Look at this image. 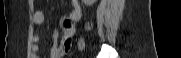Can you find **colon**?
I'll use <instances>...</instances> for the list:
<instances>
[{"label":"colon","instance_id":"1","mask_svg":"<svg viewBox=\"0 0 181 58\" xmlns=\"http://www.w3.org/2000/svg\"><path fill=\"white\" fill-rule=\"evenodd\" d=\"M77 46H78L79 48H82V47L84 46V41H83L82 38H80V39L77 41Z\"/></svg>","mask_w":181,"mask_h":58}]
</instances>
